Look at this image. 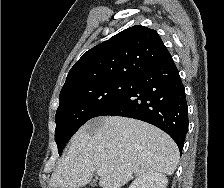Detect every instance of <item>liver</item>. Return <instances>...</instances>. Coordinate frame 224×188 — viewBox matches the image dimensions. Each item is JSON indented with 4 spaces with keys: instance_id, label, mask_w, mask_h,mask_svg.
I'll return each mask as SVG.
<instances>
[{
    "instance_id": "6515ba94",
    "label": "liver",
    "mask_w": 224,
    "mask_h": 188,
    "mask_svg": "<svg viewBox=\"0 0 224 188\" xmlns=\"http://www.w3.org/2000/svg\"><path fill=\"white\" fill-rule=\"evenodd\" d=\"M179 150L162 130L139 120L106 116L82 126L71 139L66 155L50 179L52 188L87 185L95 170H102V188H120L146 173L171 175L177 168Z\"/></svg>"
}]
</instances>
